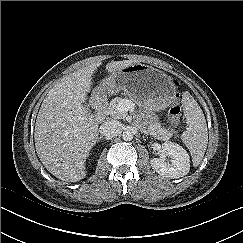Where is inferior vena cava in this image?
<instances>
[{
    "mask_svg": "<svg viewBox=\"0 0 243 243\" xmlns=\"http://www.w3.org/2000/svg\"><path fill=\"white\" fill-rule=\"evenodd\" d=\"M123 126L117 120H111L100 126V134L106 138L115 137L122 132Z\"/></svg>",
    "mask_w": 243,
    "mask_h": 243,
    "instance_id": "1",
    "label": "inferior vena cava"
}]
</instances>
